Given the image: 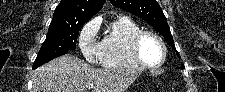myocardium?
Masks as SVG:
<instances>
[{"label":"myocardium","mask_w":225,"mask_h":92,"mask_svg":"<svg viewBox=\"0 0 225 92\" xmlns=\"http://www.w3.org/2000/svg\"><path fill=\"white\" fill-rule=\"evenodd\" d=\"M146 36H150V37L154 38L155 40H157L162 48V58L156 64L147 63L143 59V57L140 53V43ZM130 52H131L132 56L134 57L136 63L139 66H142V67H145L148 69H157V68L161 67L164 64V62L166 61L167 47H166L164 40L157 33L150 31V30H140V31L136 32L130 40Z\"/></svg>","instance_id":"myocardium-1"}]
</instances>
